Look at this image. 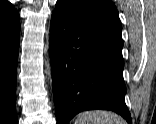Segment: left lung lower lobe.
Wrapping results in <instances>:
<instances>
[{
	"instance_id": "0a47b994",
	"label": "left lung lower lobe",
	"mask_w": 156,
	"mask_h": 124,
	"mask_svg": "<svg viewBox=\"0 0 156 124\" xmlns=\"http://www.w3.org/2000/svg\"><path fill=\"white\" fill-rule=\"evenodd\" d=\"M120 36L71 13L57 1L51 16L50 57L58 124L84 110H111L131 123L125 104Z\"/></svg>"
}]
</instances>
